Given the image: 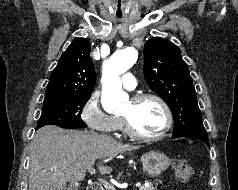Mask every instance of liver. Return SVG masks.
I'll return each mask as SVG.
<instances>
[{
  "label": "liver",
  "instance_id": "1",
  "mask_svg": "<svg viewBox=\"0 0 238 190\" xmlns=\"http://www.w3.org/2000/svg\"><path fill=\"white\" fill-rule=\"evenodd\" d=\"M138 148L91 132L44 126L30 145L29 190H65L67 182L82 181L96 160L107 163L119 153ZM98 170L108 174L112 168L100 162Z\"/></svg>",
  "mask_w": 238,
  "mask_h": 190
}]
</instances>
